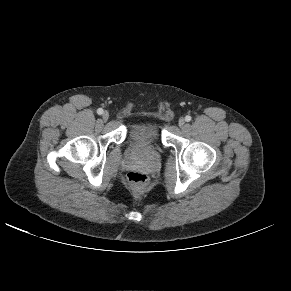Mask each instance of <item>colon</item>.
I'll return each instance as SVG.
<instances>
[{
    "instance_id": "5ec220e1",
    "label": "colon",
    "mask_w": 291,
    "mask_h": 291,
    "mask_svg": "<svg viewBox=\"0 0 291 291\" xmlns=\"http://www.w3.org/2000/svg\"><path fill=\"white\" fill-rule=\"evenodd\" d=\"M127 179L136 188H143L149 181V177L146 174L138 171L129 172Z\"/></svg>"
}]
</instances>
